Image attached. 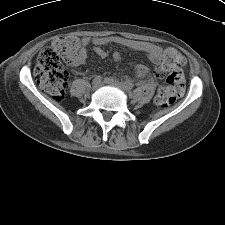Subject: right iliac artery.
Masks as SVG:
<instances>
[{
	"label": "right iliac artery",
	"instance_id": "right-iliac-artery-1",
	"mask_svg": "<svg viewBox=\"0 0 225 225\" xmlns=\"http://www.w3.org/2000/svg\"><path fill=\"white\" fill-rule=\"evenodd\" d=\"M102 81V77L100 75L96 76L94 79H93V83H100Z\"/></svg>",
	"mask_w": 225,
	"mask_h": 225
}]
</instances>
